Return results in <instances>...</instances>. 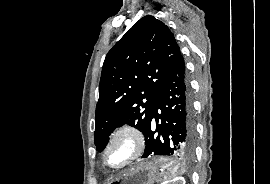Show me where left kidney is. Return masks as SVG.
<instances>
[{
	"label": "left kidney",
	"mask_w": 270,
	"mask_h": 184,
	"mask_svg": "<svg viewBox=\"0 0 270 184\" xmlns=\"http://www.w3.org/2000/svg\"><path fill=\"white\" fill-rule=\"evenodd\" d=\"M165 184H186L183 177H176L172 180L167 181Z\"/></svg>",
	"instance_id": "obj_1"
}]
</instances>
